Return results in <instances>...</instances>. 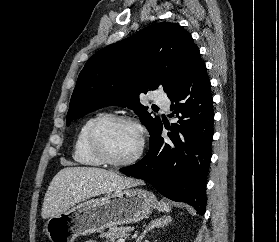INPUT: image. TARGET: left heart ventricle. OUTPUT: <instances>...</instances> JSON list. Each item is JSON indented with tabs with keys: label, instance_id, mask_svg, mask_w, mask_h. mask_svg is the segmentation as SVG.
Instances as JSON below:
<instances>
[{
	"label": "left heart ventricle",
	"instance_id": "left-heart-ventricle-1",
	"mask_svg": "<svg viewBox=\"0 0 279 242\" xmlns=\"http://www.w3.org/2000/svg\"><path fill=\"white\" fill-rule=\"evenodd\" d=\"M101 138L107 152L117 160L130 158L139 144L138 131L126 123L107 125L101 132Z\"/></svg>",
	"mask_w": 279,
	"mask_h": 242
}]
</instances>
